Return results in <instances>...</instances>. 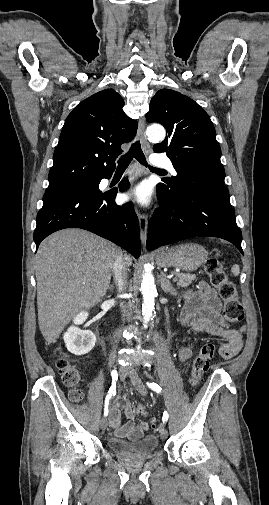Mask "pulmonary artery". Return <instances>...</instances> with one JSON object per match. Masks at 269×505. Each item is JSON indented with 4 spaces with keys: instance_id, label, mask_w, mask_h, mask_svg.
<instances>
[{
    "instance_id": "1",
    "label": "pulmonary artery",
    "mask_w": 269,
    "mask_h": 505,
    "mask_svg": "<svg viewBox=\"0 0 269 505\" xmlns=\"http://www.w3.org/2000/svg\"><path fill=\"white\" fill-rule=\"evenodd\" d=\"M150 160L154 166L168 169L173 175H176V170L169 159L158 155H152Z\"/></svg>"
}]
</instances>
